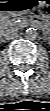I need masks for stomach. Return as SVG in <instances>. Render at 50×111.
<instances>
[{
  "instance_id": "0dacf381",
  "label": "stomach",
  "mask_w": 50,
  "mask_h": 111,
  "mask_svg": "<svg viewBox=\"0 0 50 111\" xmlns=\"http://www.w3.org/2000/svg\"><path fill=\"white\" fill-rule=\"evenodd\" d=\"M43 4L42 0H5L1 2L2 13L6 16H20L34 11Z\"/></svg>"
}]
</instances>
